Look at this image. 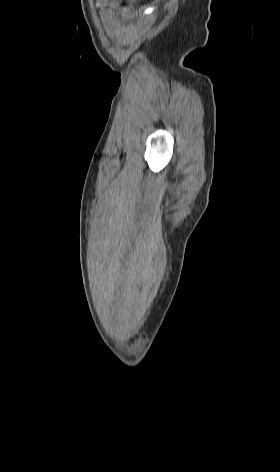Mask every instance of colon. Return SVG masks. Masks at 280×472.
I'll use <instances>...</instances> for the list:
<instances>
[{
	"label": "colon",
	"instance_id": "5ec220e1",
	"mask_svg": "<svg viewBox=\"0 0 280 472\" xmlns=\"http://www.w3.org/2000/svg\"><path fill=\"white\" fill-rule=\"evenodd\" d=\"M134 0H129V4L131 5Z\"/></svg>",
	"mask_w": 280,
	"mask_h": 472
}]
</instances>
